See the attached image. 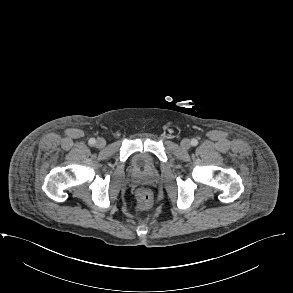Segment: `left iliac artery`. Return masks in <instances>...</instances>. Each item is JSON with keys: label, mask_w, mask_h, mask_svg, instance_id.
<instances>
[{"label": "left iliac artery", "mask_w": 293, "mask_h": 293, "mask_svg": "<svg viewBox=\"0 0 293 293\" xmlns=\"http://www.w3.org/2000/svg\"><path fill=\"white\" fill-rule=\"evenodd\" d=\"M192 146H196L198 144V141L196 139L191 140Z\"/></svg>", "instance_id": "left-iliac-artery-1"}]
</instances>
